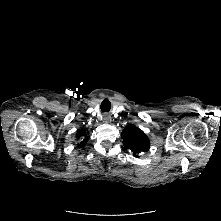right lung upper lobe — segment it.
Returning <instances> with one entry per match:
<instances>
[{"mask_svg": "<svg viewBox=\"0 0 221 221\" xmlns=\"http://www.w3.org/2000/svg\"><path fill=\"white\" fill-rule=\"evenodd\" d=\"M76 137L82 139L81 143L78 144V147L84 146L87 143L88 139H89V136H86L84 131L80 130V129L77 131Z\"/></svg>", "mask_w": 221, "mask_h": 221, "instance_id": "1", "label": "right lung upper lobe"}]
</instances>
